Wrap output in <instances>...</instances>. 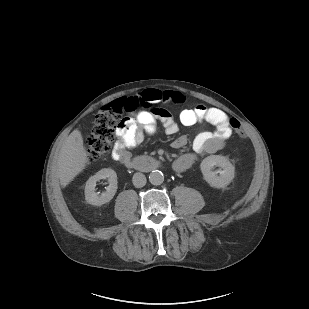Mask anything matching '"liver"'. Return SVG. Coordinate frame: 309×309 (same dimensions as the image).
<instances>
[{
    "instance_id": "1",
    "label": "liver",
    "mask_w": 309,
    "mask_h": 309,
    "mask_svg": "<svg viewBox=\"0 0 309 309\" xmlns=\"http://www.w3.org/2000/svg\"><path fill=\"white\" fill-rule=\"evenodd\" d=\"M87 162L83 137L76 129L67 137L59 152L57 167L61 186L66 187L73 181L85 169Z\"/></svg>"
}]
</instances>
